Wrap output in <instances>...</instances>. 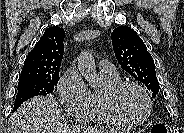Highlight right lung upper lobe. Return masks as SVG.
Returning a JSON list of instances; mask_svg holds the SVG:
<instances>
[{
    "instance_id": "right-lung-upper-lobe-1",
    "label": "right lung upper lobe",
    "mask_w": 184,
    "mask_h": 133,
    "mask_svg": "<svg viewBox=\"0 0 184 133\" xmlns=\"http://www.w3.org/2000/svg\"><path fill=\"white\" fill-rule=\"evenodd\" d=\"M64 36L65 31L62 28H47L25 59L19 80L59 76L64 53Z\"/></svg>"
}]
</instances>
